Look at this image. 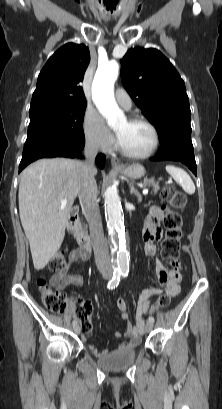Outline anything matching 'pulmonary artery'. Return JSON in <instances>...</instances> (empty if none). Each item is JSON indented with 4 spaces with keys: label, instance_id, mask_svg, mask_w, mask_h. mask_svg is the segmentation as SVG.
I'll list each match as a JSON object with an SVG mask.
<instances>
[{
    "label": "pulmonary artery",
    "instance_id": "e3ab8cb5",
    "mask_svg": "<svg viewBox=\"0 0 222 409\" xmlns=\"http://www.w3.org/2000/svg\"><path fill=\"white\" fill-rule=\"evenodd\" d=\"M115 99L117 103L126 110H129L132 106L131 97L123 88H117L115 90Z\"/></svg>",
    "mask_w": 222,
    "mask_h": 409
}]
</instances>
